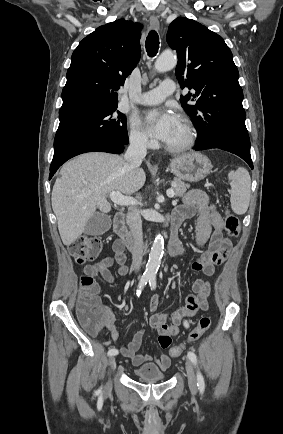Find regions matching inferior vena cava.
I'll use <instances>...</instances> for the list:
<instances>
[{
	"label": "inferior vena cava",
	"mask_w": 283,
	"mask_h": 434,
	"mask_svg": "<svg viewBox=\"0 0 283 434\" xmlns=\"http://www.w3.org/2000/svg\"><path fill=\"white\" fill-rule=\"evenodd\" d=\"M147 153V141L144 138L132 139L124 155V159L133 167H139ZM127 224L132 232L133 247L132 261L135 270H139L143 258V233L140 213L130 210L126 217Z\"/></svg>",
	"instance_id": "1"
}]
</instances>
